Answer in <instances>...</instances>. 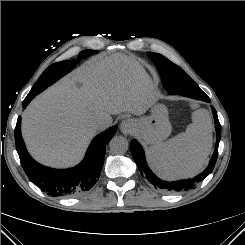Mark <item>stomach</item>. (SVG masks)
I'll return each mask as SVG.
<instances>
[{"mask_svg":"<svg viewBox=\"0 0 245 245\" xmlns=\"http://www.w3.org/2000/svg\"><path fill=\"white\" fill-rule=\"evenodd\" d=\"M136 132L145 144H159L171 133L168 111L162 104L152 108V114L136 120Z\"/></svg>","mask_w":245,"mask_h":245,"instance_id":"obj_1","label":"stomach"}]
</instances>
